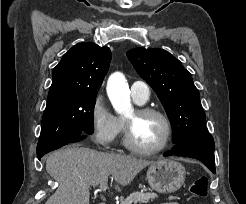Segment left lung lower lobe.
I'll return each instance as SVG.
<instances>
[{
  "label": "left lung lower lobe",
  "mask_w": 246,
  "mask_h": 204,
  "mask_svg": "<svg viewBox=\"0 0 246 204\" xmlns=\"http://www.w3.org/2000/svg\"><path fill=\"white\" fill-rule=\"evenodd\" d=\"M170 155L198 159L215 173L214 140L209 132L181 141L164 153V156Z\"/></svg>",
  "instance_id": "1"
}]
</instances>
